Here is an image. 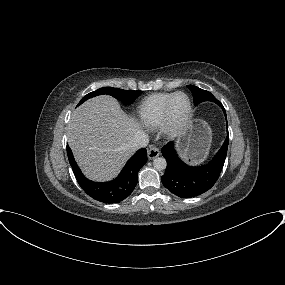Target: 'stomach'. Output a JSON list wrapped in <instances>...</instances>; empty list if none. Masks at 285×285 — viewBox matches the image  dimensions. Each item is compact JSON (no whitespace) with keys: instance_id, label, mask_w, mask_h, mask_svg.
I'll return each instance as SVG.
<instances>
[{"instance_id":"0dacf381","label":"stomach","mask_w":285,"mask_h":285,"mask_svg":"<svg viewBox=\"0 0 285 285\" xmlns=\"http://www.w3.org/2000/svg\"><path fill=\"white\" fill-rule=\"evenodd\" d=\"M212 132L207 122L192 121L178 142V149L183 158L191 164L203 162L211 146Z\"/></svg>"}]
</instances>
